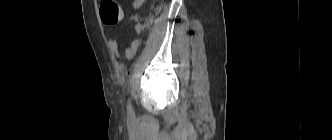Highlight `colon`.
I'll return each mask as SVG.
<instances>
[{
	"label": "colon",
	"instance_id": "5ec220e1",
	"mask_svg": "<svg viewBox=\"0 0 332 140\" xmlns=\"http://www.w3.org/2000/svg\"><path fill=\"white\" fill-rule=\"evenodd\" d=\"M100 15L104 24L115 25L122 19V10L115 0H102L100 3Z\"/></svg>",
	"mask_w": 332,
	"mask_h": 140
}]
</instances>
